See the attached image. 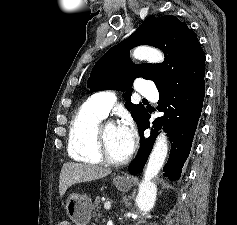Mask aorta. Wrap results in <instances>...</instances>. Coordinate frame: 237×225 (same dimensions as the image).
I'll return each mask as SVG.
<instances>
[{"mask_svg": "<svg viewBox=\"0 0 237 225\" xmlns=\"http://www.w3.org/2000/svg\"><path fill=\"white\" fill-rule=\"evenodd\" d=\"M133 57L138 60H145L150 63L162 62L163 54L151 47H137L133 51ZM168 153V142L165 134H160L154 144L153 150L149 156L144 178L139 185L138 196L136 198L137 206L142 211L149 210L155 201L157 188L152 179L158 175L164 165Z\"/></svg>", "mask_w": 237, "mask_h": 225, "instance_id": "obj_1", "label": "aorta"}]
</instances>
